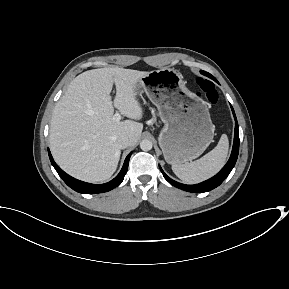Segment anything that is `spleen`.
<instances>
[{
	"mask_svg": "<svg viewBox=\"0 0 289 289\" xmlns=\"http://www.w3.org/2000/svg\"><path fill=\"white\" fill-rule=\"evenodd\" d=\"M228 148V137L223 134L217 146L202 158L183 165L174 164L172 170L185 183H199L212 177L223 167Z\"/></svg>",
	"mask_w": 289,
	"mask_h": 289,
	"instance_id": "spleen-1",
	"label": "spleen"
}]
</instances>
